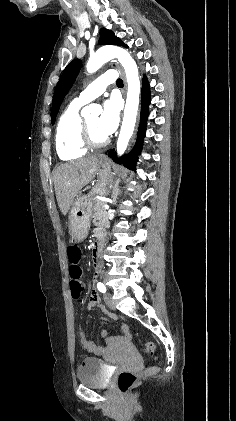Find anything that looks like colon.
<instances>
[{
	"instance_id": "1",
	"label": "colon",
	"mask_w": 236,
	"mask_h": 421,
	"mask_svg": "<svg viewBox=\"0 0 236 421\" xmlns=\"http://www.w3.org/2000/svg\"><path fill=\"white\" fill-rule=\"evenodd\" d=\"M67 252L69 262L71 263L69 267L71 295L73 298H79L83 292V271L79 266L82 253L77 245H70ZM142 351L145 354H153L155 344L153 342H146L143 345ZM157 371L158 368L156 367H150L144 372L123 371L117 378L118 388L123 394H126L137 385L143 376L155 374Z\"/></svg>"
}]
</instances>
